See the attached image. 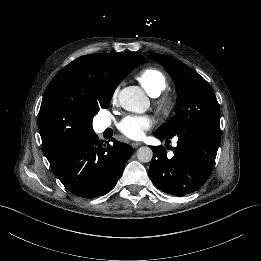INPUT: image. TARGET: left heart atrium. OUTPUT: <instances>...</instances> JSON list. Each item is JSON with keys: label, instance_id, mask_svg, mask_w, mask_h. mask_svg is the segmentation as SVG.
I'll use <instances>...</instances> for the list:
<instances>
[{"label": "left heart atrium", "instance_id": "39dd6f15", "mask_svg": "<svg viewBox=\"0 0 261 261\" xmlns=\"http://www.w3.org/2000/svg\"><path fill=\"white\" fill-rule=\"evenodd\" d=\"M152 126L153 121L149 117L129 116L119 123L118 129L128 139L140 140Z\"/></svg>", "mask_w": 261, "mask_h": 261}]
</instances>
